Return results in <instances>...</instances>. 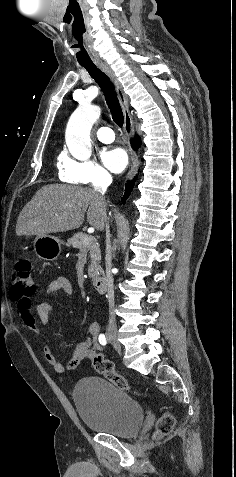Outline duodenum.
<instances>
[{"mask_svg":"<svg viewBox=\"0 0 236 477\" xmlns=\"http://www.w3.org/2000/svg\"><path fill=\"white\" fill-rule=\"evenodd\" d=\"M94 289L100 293L104 294L107 291L108 284H107V279L103 276H98L95 277L92 281Z\"/></svg>","mask_w":236,"mask_h":477,"instance_id":"duodenum-1","label":"duodenum"}]
</instances>
